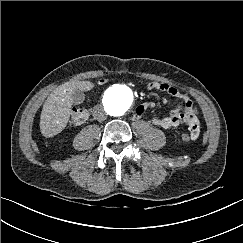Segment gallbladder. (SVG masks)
<instances>
[{
    "label": "gallbladder",
    "instance_id": "obj_1",
    "mask_svg": "<svg viewBox=\"0 0 243 243\" xmlns=\"http://www.w3.org/2000/svg\"><path fill=\"white\" fill-rule=\"evenodd\" d=\"M72 98H73V103L80 104L84 99V95L81 91H75L73 93Z\"/></svg>",
    "mask_w": 243,
    "mask_h": 243
}]
</instances>
